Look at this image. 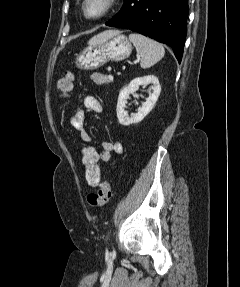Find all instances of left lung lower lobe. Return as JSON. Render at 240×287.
Masks as SVG:
<instances>
[{
  "instance_id": "0a47b994",
  "label": "left lung lower lobe",
  "mask_w": 240,
  "mask_h": 287,
  "mask_svg": "<svg viewBox=\"0 0 240 287\" xmlns=\"http://www.w3.org/2000/svg\"><path fill=\"white\" fill-rule=\"evenodd\" d=\"M187 0H125L107 26L126 28L169 45L181 62L187 34Z\"/></svg>"
}]
</instances>
